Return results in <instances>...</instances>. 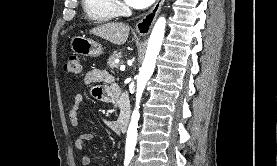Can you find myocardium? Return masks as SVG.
<instances>
[{"label":"myocardium","instance_id":"1","mask_svg":"<svg viewBox=\"0 0 277 166\" xmlns=\"http://www.w3.org/2000/svg\"><path fill=\"white\" fill-rule=\"evenodd\" d=\"M113 4L117 7L119 5V0H112Z\"/></svg>","mask_w":277,"mask_h":166}]
</instances>
